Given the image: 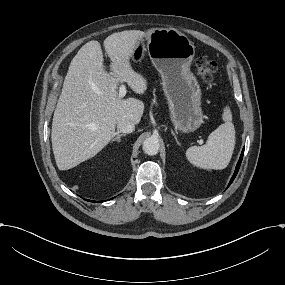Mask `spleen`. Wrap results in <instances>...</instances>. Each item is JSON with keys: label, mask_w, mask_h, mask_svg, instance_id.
Instances as JSON below:
<instances>
[{"label": "spleen", "mask_w": 285, "mask_h": 285, "mask_svg": "<svg viewBox=\"0 0 285 285\" xmlns=\"http://www.w3.org/2000/svg\"><path fill=\"white\" fill-rule=\"evenodd\" d=\"M224 120L226 123L209 134L205 145L186 150L187 160L195 167L213 170L227 167L235 146V129L228 111Z\"/></svg>", "instance_id": "3e777b00"}]
</instances>
